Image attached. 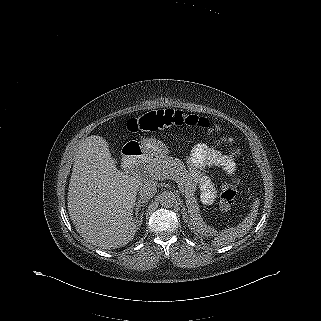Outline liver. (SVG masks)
<instances>
[{"instance_id":"6515ba94","label":"liver","mask_w":321,"mask_h":321,"mask_svg":"<svg viewBox=\"0 0 321 321\" xmlns=\"http://www.w3.org/2000/svg\"><path fill=\"white\" fill-rule=\"evenodd\" d=\"M141 183L117 169L103 137H87L78 147L68 189L76 231L102 249L128 244L137 231L132 214Z\"/></svg>"}]
</instances>
